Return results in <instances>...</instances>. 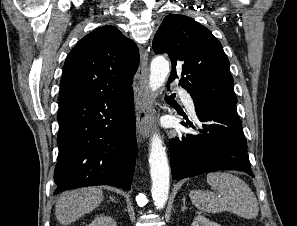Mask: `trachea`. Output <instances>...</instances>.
I'll use <instances>...</instances> for the list:
<instances>
[{"label":"trachea","instance_id":"trachea-1","mask_svg":"<svg viewBox=\"0 0 297 226\" xmlns=\"http://www.w3.org/2000/svg\"><path fill=\"white\" fill-rule=\"evenodd\" d=\"M165 100L168 101V102H175L173 96L166 97Z\"/></svg>","mask_w":297,"mask_h":226}]
</instances>
